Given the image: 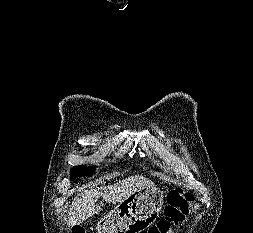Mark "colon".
Masks as SVG:
<instances>
[{
    "instance_id": "1",
    "label": "colon",
    "mask_w": 253,
    "mask_h": 233,
    "mask_svg": "<svg viewBox=\"0 0 253 233\" xmlns=\"http://www.w3.org/2000/svg\"><path fill=\"white\" fill-rule=\"evenodd\" d=\"M193 197L184 193L182 190H171L167 197V206L164 210V216L159 220L157 225L150 227L143 233H168L173 226L178 225L189 212L190 203ZM73 233H86L85 229L77 225L73 228Z\"/></svg>"
}]
</instances>
